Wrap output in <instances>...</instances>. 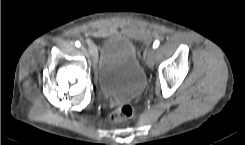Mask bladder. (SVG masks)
Segmentation results:
<instances>
[{
  "mask_svg": "<svg viewBox=\"0 0 245 145\" xmlns=\"http://www.w3.org/2000/svg\"><path fill=\"white\" fill-rule=\"evenodd\" d=\"M96 75L99 87L108 97L131 99L145 86V74L134 41L130 37L110 34L99 50Z\"/></svg>",
  "mask_w": 245,
  "mask_h": 145,
  "instance_id": "1",
  "label": "bladder"
}]
</instances>
